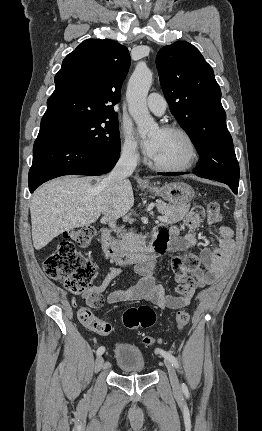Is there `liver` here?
I'll use <instances>...</instances> for the list:
<instances>
[{"label":"liver","mask_w":262,"mask_h":431,"mask_svg":"<svg viewBox=\"0 0 262 431\" xmlns=\"http://www.w3.org/2000/svg\"><path fill=\"white\" fill-rule=\"evenodd\" d=\"M104 179L67 176L36 190L30 203L35 249H42L64 231L94 223L101 214L102 222H108L106 210L118 218L132 208L131 182L127 180L119 191L110 192Z\"/></svg>","instance_id":"1"}]
</instances>
